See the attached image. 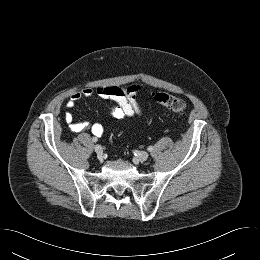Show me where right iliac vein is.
<instances>
[{
  "mask_svg": "<svg viewBox=\"0 0 260 260\" xmlns=\"http://www.w3.org/2000/svg\"><path fill=\"white\" fill-rule=\"evenodd\" d=\"M94 150H95V152L97 153L98 158L101 160V159H102V155H103V149H102V147H101L100 145L96 144V145L94 146Z\"/></svg>",
  "mask_w": 260,
  "mask_h": 260,
  "instance_id": "1",
  "label": "right iliac vein"
}]
</instances>
